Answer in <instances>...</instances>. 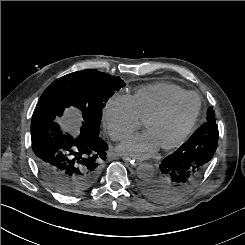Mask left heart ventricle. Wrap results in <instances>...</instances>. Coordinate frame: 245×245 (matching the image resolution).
Segmentation results:
<instances>
[{
	"mask_svg": "<svg viewBox=\"0 0 245 245\" xmlns=\"http://www.w3.org/2000/svg\"><path fill=\"white\" fill-rule=\"evenodd\" d=\"M198 106L195 97L187 98L176 105L164 118L152 123L150 132L159 146L173 142L185 130L193 119Z\"/></svg>",
	"mask_w": 245,
	"mask_h": 245,
	"instance_id": "left-heart-ventricle-1",
	"label": "left heart ventricle"
}]
</instances>
